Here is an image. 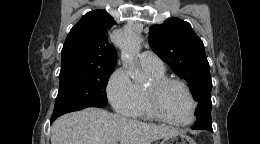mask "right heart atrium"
I'll return each mask as SVG.
<instances>
[{
    "label": "right heart atrium",
    "instance_id": "1",
    "mask_svg": "<svg viewBox=\"0 0 260 144\" xmlns=\"http://www.w3.org/2000/svg\"><path fill=\"white\" fill-rule=\"evenodd\" d=\"M106 95L113 109L128 115L136 100L134 84L123 68L116 69L108 79Z\"/></svg>",
    "mask_w": 260,
    "mask_h": 144
}]
</instances>
